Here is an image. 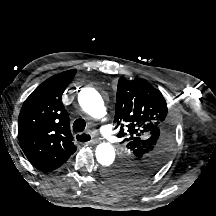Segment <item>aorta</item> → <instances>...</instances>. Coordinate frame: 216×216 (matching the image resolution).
<instances>
[{
	"mask_svg": "<svg viewBox=\"0 0 216 216\" xmlns=\"http://www.w3.org/2000/svg\"><path fill=\"white\" fill-rule=\"evenodd\" d=\"M81 108L90 116L100 119L106 115V108L101 95L93 88H84L78 94ZM97 161L104 167L110 166L115 159V150L110 143H101L97 146Z\"/></svg>",
	"mask_w": 216,
	"mask_h": 216,
	"instance_id": "aorta-1",
	"label": "aorta"
}]
</instances>
